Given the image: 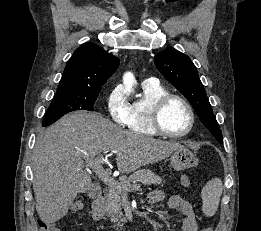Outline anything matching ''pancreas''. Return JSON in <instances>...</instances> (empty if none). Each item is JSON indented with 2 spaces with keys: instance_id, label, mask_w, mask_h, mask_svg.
<instances>
[{
  "instance_id": "1",
  "label": "pancreas",
  "mask_w": 261,
  "mask_h": 231,
  "mask_svg": "<svg viewBox=\"0 0 261 231\" xmlns=\"http://www.w3.org/2000/svg\"><path fill=\"white\" fill-rule=\"evenodd\" d=\"M136 181H140L145 185H158L162 182V179L149 169H139L129 177H121L118 183L121 187L131 188L135 186ZM126 193L123 189L110 188L106 194L105 210L107 217L113 223L126 221L121 211V197Z\"/></svg>"
}]
</instances>
